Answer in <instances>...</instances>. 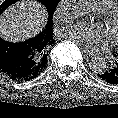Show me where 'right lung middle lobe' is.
Listing matches in <instances>:
<instances>
[{
  "label": "right lung middle lobe",
  "mask_w": 118,
  "mask_h": 118,
  "mask_svg": "<svg viewBox=\"0 0 118 118\" xmlns=\"http://www.w3.org/2000/svg\"><path fill=\"white\" fill-rule=\"evenodd\" d=\"M39 1L41 4H43L48 12L49 15V19L48 20H52L53 18V14L54 11L59 3L60 0H37ZM15 2H17V0H5L1 5H0V15L2 14V12L9 7L10 5L14 4Z\"/></svg>",
  "instance_id": "obj_1"
}]
</instances>
